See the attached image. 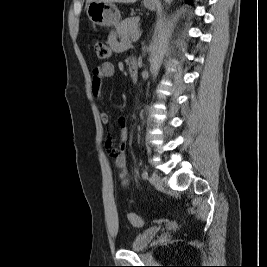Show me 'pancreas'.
<instances>
[{"mask_svg":"<svg viewBox=\"0 0 267 267\" xmlns=\"http://www.w3.org/2000/svg\"><path fill=\"white\" fill-rule=\"evenodd\" d=\"M139 17L127 18L117 26L119 37H132L139 33Z\"/></svg>","mask_w":267,"mask_h":267,"instance_id":"pancreas-1","label":"pancreas"}]
</instances>
